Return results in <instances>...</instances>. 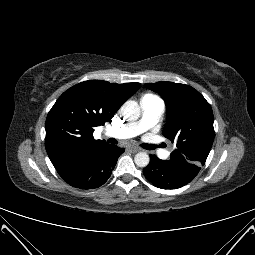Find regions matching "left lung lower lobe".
Listing matches in <instances>:
<instances>
[{
  "mask_svg": "<svg viewBox=\"0 0 255 255\" xmlns=\"http://www.w3.org/2000/svg\"><path fill=\"white\" fill-rule=\"evenodd\" d=\"M198 172L167 160L163 161L155 155H150V163L143 170L147 180L161 189L180 188L189 183Z\"/></svg>",
  "mask_w": 255,
  "mask_h": 255,
  "instance_id": "obj_1",
  "label": "left lung lower lobe"
}]
</instances>
